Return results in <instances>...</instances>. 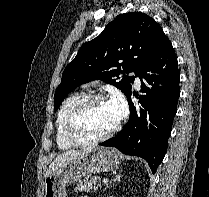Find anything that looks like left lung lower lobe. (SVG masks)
Returning a JSON list of instances; mask_svg holds the SVG:
<instances>
[{
    "instance_id": "1",
    "label": "left lung lower lobe",
    "mask_w": 209,
    "mask_h": 197,
    "mask_svg": "<svg viewBox=\"0 0 209 197\" xmlns=\"http://www.w3.org/2000/svg\"><path fill=\"white\" fill-rule=\"evenodd\" d=\"M138 76L142 82L141 91L145 93L140 97L142 107L136 110L131 102V92L127 96L130 106L128 123L115 137L100 145L144 158L155 173L167 151L180 95L177 58L168 38ZM142 78L149 87L144 85Z\"/></svg>"
}]
</instances>
